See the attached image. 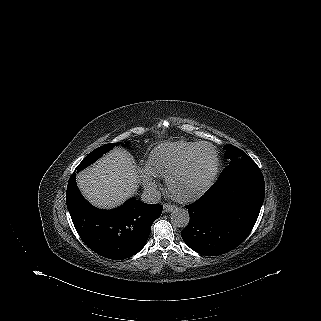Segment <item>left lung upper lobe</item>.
Here are the masks:
<instances>
[{
	"mask_svg": "<svg viewBox=\"0 0 321 321\" xmlns=\"http://www.w3.org/2000/svg\"><path fill=\"white\" fill-rule=\"evenodd\" d=\"M225 157L230 160V163L237 161L239 159H248L250 158L246 153H244L239 148L232 146L230 144H227L225 146Z\"/></svg>",
	"mask_w": 321,
	"mask_h": 321,
	"instance_id": "5c2ea615",
	"label": "left lung upper lobe"
}]
</instances>
